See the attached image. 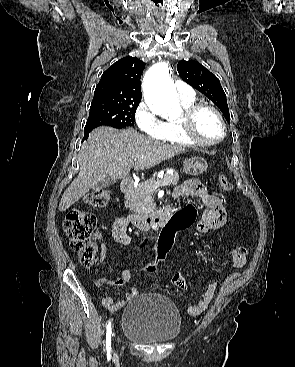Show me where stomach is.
<instances>
[{
	"label": "stomach",
	"mask_w": 295,
	"mask_h": 367,
	"mask_svg": "<svg viewBox=\"0 0 295 367\" xmlns=\"http://www.w3.org/2000/svg\"><path fill=\"white\" fill-rule=\"evenodd\" d=\"M208 164L205 159L201 157H192L184 162L183 170L189 175H199L206 171Z\"/></svg>",
	"instance_id": "obj_1"
}]
</instances>
